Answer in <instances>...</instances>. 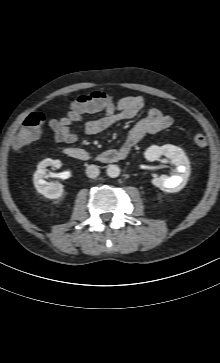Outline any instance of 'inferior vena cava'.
<instances>
[{
	"mask_svg": "<svg viewBox=\"0 0 220 363\" xmlns=\"http://www.w3.org/2000/svg\"><path fill=\"white\" fill-rule=\"evenodd\" d=\"M99 168L96 165H89L86 168V174L89 178H96L99 175Z\"/></svg>",
	"mask_w": 220,
	"mask_h": 363,
	"instance_id": "1",
	"label": "inferior vena cava"
}]
</instances>
